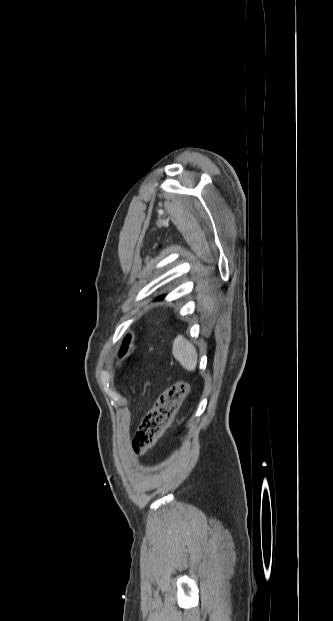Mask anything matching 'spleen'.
Segmentation results:
<instances>
[{
	"instance_id": "3e777b00",
	"label": "spleen",
	"mask_w": 333,
	"mask_h": 621,
	"mask_svg": "<svg viewBox=\"0 0 333 621\" xmlns=\"http://www.w3.org/2000/svg\"><path fill=\"white\" fill-rule=\"evenodd\" d=\"M172 354L186 370L193 372L196 369L198 360L196 348L183 336H178L174 341Z\"/></svg>"
}]
</instances>
